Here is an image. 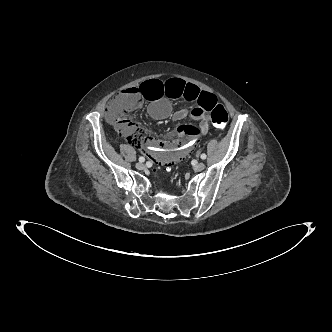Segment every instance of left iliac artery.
<instances>
[{"label": "left iliac artery", "mask_w": 332, "mask_h": 332, "mask_svg": "<svg viewBox=\"0 0 332 332\" xmlns=\"http://www.w3.org/2000/svg\"><path fill=\"white\" fill-rule=\"evenodd\" d=\"M200 157H201V159H203V160H204V159H206V157H207V156H206V154H204V153H203V154H201V156H200Z\"/></svg>", "instance_id": "1"}]
</instances>
